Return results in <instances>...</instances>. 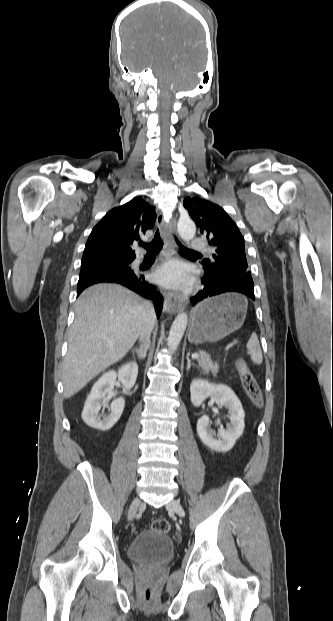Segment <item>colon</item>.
Wrapping results in <instances>:
<instances>
[{
	"label": "colon",
	"mask_w": 333,
	"mask_h": 621,
	"mask_svg": "<svg viewBox=\"0 0 333 621\" xmlns=\"http://www.w3.org/2000/svg\"><path fill=\"white\" fill-rule=\"evenodd\" d=\"M238 368L241 375L242 385L247 396L255 405L259 406L262 403V392L257 380L250 372L246 362L242 358L238 359ZM152 529L161 533H167L170 529V524L166 519H157L153 522ZM143 598L147 602L151 600L152 591L149 586L144 589Z\"/></svg>",
	"instance_id": "colon-1"
}]
</instances>
